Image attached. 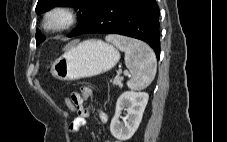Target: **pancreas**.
<instances>
[{
	"label": "pancreas",
	"instance_id": "1",
	"mask_svg": "<svg viewBox=\"0 0 227 142\" xmlns=\"http://www.w3.org/2000/svg\"><path fill=\"white\" fill-rule=\"evenodd\" d=\"M123 77L119 74L113 79V84L115 86H122Z\"/></svg>",
	"mask_w": 227,
	"mask_h": 142
}]
</instances>
